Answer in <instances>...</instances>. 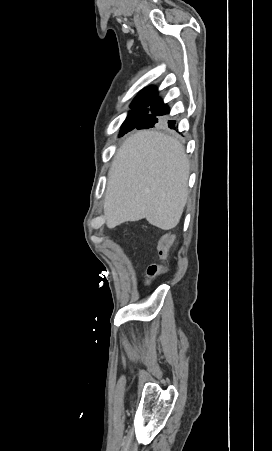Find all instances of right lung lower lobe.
Listing matches in <instances>:
<instances>
[{
    "mask_svg": "<svg viewBox=\"0 0 272 451\" xmlns=\"http://www.w3.org/2000/svg\"><path fill=\"white\" fill-rule=\"evenodd\" d=\"M151 114H147L140 122L132 125L131 127L125 129L121 132V135L132 130L133 128L143 129V128H151L158 122H162L164 118L159 117L169 113V108L167 105L163 104L162 100L158 97H155L150 105ZM168 126L171 129H176L174 120L167 121Z\"/></svg>",
    "mask_w": 272,
    "mask_h": 451,
    "instance_id": "1",
    "label": "right lung lower lobe"
}]
</instances>
